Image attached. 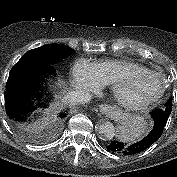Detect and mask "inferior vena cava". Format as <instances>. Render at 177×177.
I'll list each match as a JSON object with an SVG mask.
<instances>
[{
  "label": "inferior vena cava",
  "instance_id": "obj_1",
  "mask_svg": "<svg viewBox=\"0 0 177 177\" xmlns=\"http://www.w3.org/2000/svg\"><path fill=\"white\" fill-rule=\"evenodd\" d=\"M91 95L85 91H70L64 97V102L74 104H85L91 100Z\"/></svg>",
  "mask_w": 177,
  "mask_h": 177
}]
</instances>
